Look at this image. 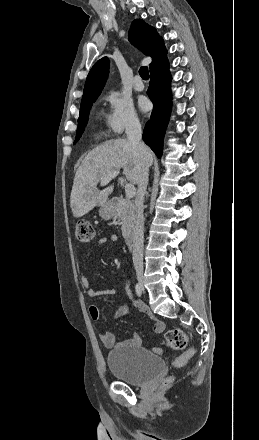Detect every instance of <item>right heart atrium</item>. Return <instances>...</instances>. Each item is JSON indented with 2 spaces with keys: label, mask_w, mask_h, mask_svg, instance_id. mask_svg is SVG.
I'll return each instance as SVG.
<instances>
[{
  "label": "right heart atrium",
  "mask_w": 259,
  "mask_h": 440,
  "mask_svg": "<svg viewBox=\"0 0 259 440\" xmlns=\"http://www.w3.org/2000/svg\"><path fill=\"white\" fill-rule=\"evenodd\" d=\"M105 99L109 105L105 122L112 134L121 135L140 125L139 117L130 99L118 92H109Z\"/></svg>",
  "instance_id": "d8ad5b80"
}]
</instances>
